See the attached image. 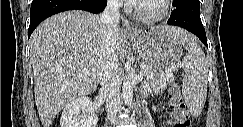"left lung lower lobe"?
<instances>
[{"label": "left lung lower lobe", "mask_w": 243, "mask_h": 127, "mask_svg": "<svg viewBox=\"0 0 243 127\" xmlns=\"http://www.w3.org/2000/svg\"><path fill=\"white\" fill-rule=\"evenodd\" d=\"M173 5L176 8L167 23L192 32L208 47L205 29L200 18L199 0H177Z\"/></svg>", "instance_id": "obj_1"}]
</instances>
